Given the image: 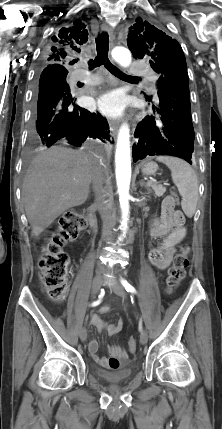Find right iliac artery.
Masks as SVG:
<instances>
[{
  "instance_id": "obj_1",
  "label": "right iliac artery",
  "mask_w": 222,
  "mask_h": 429,
  "mask_svg": "<svg viewBox=\"0 0 222 429\" xmlns=\"http://www.w3.org/2000/svg\"><path fill=\"white\" fill-rule=\"evenodd\" d=\"M99 298H100V296H99ZM100 303V300H97V301H95V302H93L92 304H91V306H97L98 304Z\"/></svg>"
}]
</instances>
